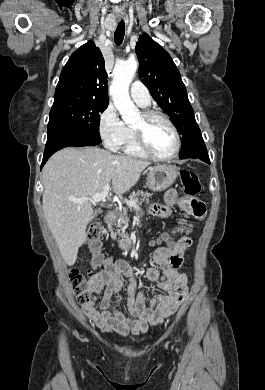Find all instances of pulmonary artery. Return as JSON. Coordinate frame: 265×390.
<instances>
[{
  "label": "pulmonary artery",
  "instance_id": "obj_1",
  "mask_svg": "<svg viewBox=\"0 0 265 390\" xmlns=\"http://www.w3.org/2000/svg\"><path fill=\"white\" fill-rule=\"evenodd\" d=\"M130 95L133 101L140 107L146 108L151 104V96L148 89L138 80L132 83Z\"/></svg>",
  "mask_w": 265,
  "mask_h": 390
}]
</instances>
